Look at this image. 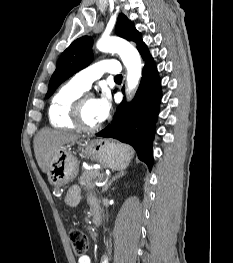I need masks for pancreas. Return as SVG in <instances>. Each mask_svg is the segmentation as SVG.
<instances>
[{"instance_id":"pancreas-1","label":"pancreas","mask_w":233,"mask_h":263,"mask_svg":"<svg viewBox=\"0 0 233 263\" xmlns=\"http://www.w3.org/2000/svg\"><path fill=\"white\" fill-rule=\"evenodd\" d=\"M103 178L104 174L100 173L99 170H85L82 173L79 181L84 188L88 190H93L95 188V181H100Z\"/></svg>"}]
</instances>
